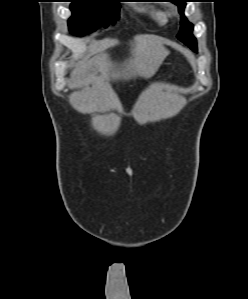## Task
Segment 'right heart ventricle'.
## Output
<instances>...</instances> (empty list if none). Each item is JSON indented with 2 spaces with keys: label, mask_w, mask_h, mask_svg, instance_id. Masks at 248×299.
I'll list each match as a JSON object with an SVG mask.
<instances>
[{
  "label": "right heart ventricle",
  "mask_w": 248,
  "mask_h": 299,
  "mask_svg": "<svg viewBox=\"0 0 248 299\" xmlns=\"http://www.w3.org/2000/svg\"><path fill=\"white\" fill-rule=\"evenodd\" d=\"M148 16L158 25H164L168 21L167 13L158 7H150L145 10Z\"/></svg>",
  "instance_id": "e07e8e85"
}]
</instances>
